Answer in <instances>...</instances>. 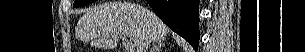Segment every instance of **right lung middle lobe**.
<instances>
[{"label": "right lung middle lobe", "instance_id": "right-lung-middle-lobe-1", "mask_svg": "<svg viewBox=\"0 0 305 52\" xmlns=\"http://www.w3.org/2000/svg\"><path fill=\"white\" fill-rule=\"evenodd\" d=\"M93 1H95V0H75L73 5H74V7H81V6L91 3Z\"/></svg>", "mask_w": 305, "mask_h": 52}]
</instances>
